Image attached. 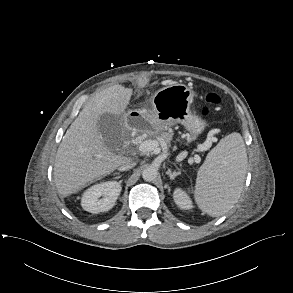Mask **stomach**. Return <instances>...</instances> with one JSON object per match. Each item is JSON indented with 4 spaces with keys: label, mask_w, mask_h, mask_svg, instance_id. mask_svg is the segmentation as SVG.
I'll list each match as a JSON object with an SVG mask.
<instances>
[{
    "label": "stomach",
    "mask_w": 293,
    "mask_h": 293,
    "mask_svg": "<svg viewBox=\"0 0 293 293\" xmlns=\"http://www.w3.org/2000/svg\"><path fill=\"white\" fill-rule=\"evenodd\" d=\"M195 93L187 85L173 83L158 90L152 97V109L136 110L151 128L161 130L181 123L195 139L205 129L206 123L191 109Z\"/></svg>",
    "instance_id": "obj_1"
}]
</instances>
